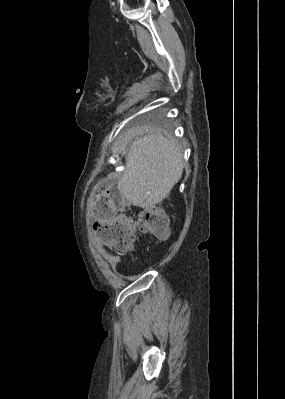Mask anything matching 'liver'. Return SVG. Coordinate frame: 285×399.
I'll return each mask as SVG.
<instances>
[{"label": "liver", "mask_w": 285, "mask_h": 399, "mask_svg": "<svg viewBox=\"0 0 285 399\" xmlns=\"http://www.w3.org/2000/svg\"><path fill=\"white\" fill-rule=\"evenodd\" d=\"M125 160L118 190L131 204L144 209L161 203L183 174L182 151L171 136L156 129L132 141Z\"/></svg>", "instance_id": "obj_1"}]
</instances>
